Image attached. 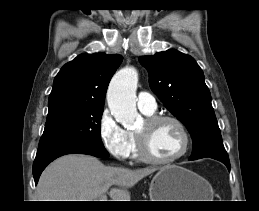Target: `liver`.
Returning a JSON list of instances; mask_svg holds the SVG:
<instances>
[{
	"mask_svg": "<svg viewBox=\"0 0 259 211\" xmlns=\"http://www.w3.org/2000/svg\"><path fill=\"white\" fill-rule=\"evenodd\" d=\"M157 168L131 170L105 166L97 158L71 154L52 162L37 185L38 201H98L109 194L111 201H130L129 188ZM114 185L116 187H110Z\"/></svg>",
	"mask_w": 259,
	"mask_h": 211,
	"instance_id": "6515ba94",
	"label": "liver"
}]
</instances>
